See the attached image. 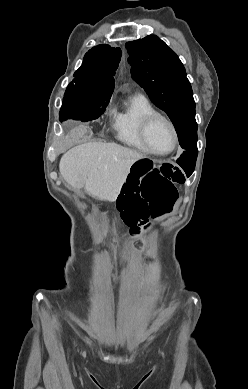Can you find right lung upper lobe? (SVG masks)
Listing matches in <instances>:
<instances>
[{
    "label": "right lung upper lobe",
    "instance_id": "cb5924a9",
    "mask_svg": "<svg viewBox=\"0 0 248 389\" xmlns=\"http://www.w3.org/2000/svg\"><path fill=\"white\" fill-rule=\"evenodd\" d=\"M121 59L120 48L102 44L89 50L82 66L75 72L74 77L82 80L92 89L113 92L115 70Z\"/></svg>",
    "mask_w": 248,
    "mask_h": 389
}]
</instances>
